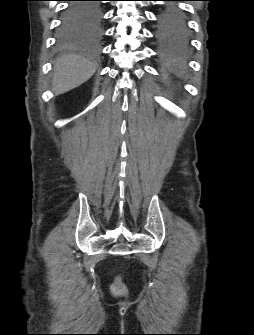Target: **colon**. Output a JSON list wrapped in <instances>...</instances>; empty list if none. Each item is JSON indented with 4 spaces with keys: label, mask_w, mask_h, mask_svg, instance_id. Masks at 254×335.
Returning <instances> with one entry per match:
<instances>
[{
    "label": "colon",
    "mask_w": 254,
    "mask_h": 335,
    "mask_svg": "<svg viewBox=\"0 0 254 335\" xmlns=\"http://www.w3.org/2000/svg\"><path fill=\"white\" fill-rule=\"evenodd\" d=\"M111 290L117 296H122L125 294L126 287L119 276H117L111 284Z\"/></svg>",
    "instance_id": "obj_1"
}]
</instances>
